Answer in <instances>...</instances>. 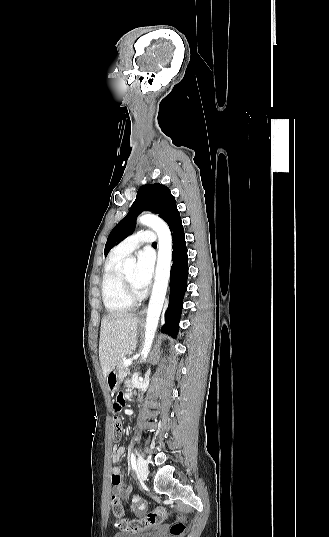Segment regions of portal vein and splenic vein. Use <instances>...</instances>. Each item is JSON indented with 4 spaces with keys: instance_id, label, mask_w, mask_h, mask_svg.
<instances>
[{
    "instance_id": "portal-vein-and-splenic-vein-1",
    "label": "portal vein and splenic vein",
    "mask_w": 329,
    "mask_h": 537,
    "mask_svg": "<svg viewBox=\"0 0 329 537\" xmlns=\"http://www.w3.org/2000/svg\"><path fill=\"white\" fill-rule=\"evenodd\" d=\"M131 364H132V359H127V360H125V362H124V366H125V367H129Z\"/></svg>"
}]
</instances>
